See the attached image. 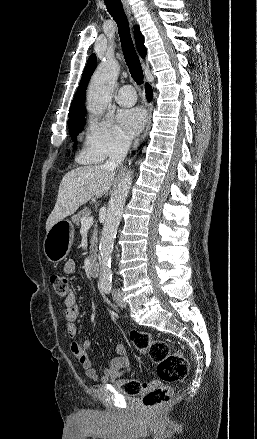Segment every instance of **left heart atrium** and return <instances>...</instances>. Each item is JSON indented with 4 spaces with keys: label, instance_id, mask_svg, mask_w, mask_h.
Here are the masks:
<instances>
[{
    "label": "left heart atrium",
    "instance_id": "obj_1",
    "mask_svg": "<svg viewBox=\"0 0 257 439\" xmlns=\"http://www.w3.org/2000/svg\"><path fill=\"white\" fill-rule=\"evenodd\" d=\"M118 120L129 135L137 134L144 126L146 115L141 108L121 110L118 113Z\"/></svg>",
    "mask_w": 257,
    "mask_h": 439
}]
</instances>
